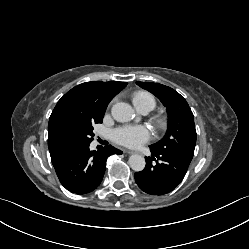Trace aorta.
Here are the masks:
<instances>
[{"label": "aorta", "mask_w": 249, "mask_h": 249, "mask_svg": "<svg viewBox=\"0 0 249 249\" xmlns=\"http://www.w3.org/2000/svg\"><path fill=\"white\" fill-rule=\"evenodd\" d=\"M112 117L118 122H127L133 119L134 110L133 108L124 102H118L111 108ZM130 167L136 171H142L145 168V158L141 155H131L129 158Z\"/></svg>", "instance_id": "aorta-1"}]
</instances>
